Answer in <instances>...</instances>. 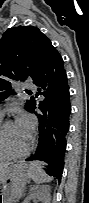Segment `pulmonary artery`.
<instances>
[{"mask_svg": "<svg viewBox=\"0 0 89 203\" xmlns=\"http://www.w3.org/2000/svg\"><path fill=\"white\" fill-rule=\"evenodd\" d=\"M26 87H33V85H32V84H29V85H26Z\"/></svg>", "mask_w": 89, "mask_h": 203, "instance_id": "e3ab8cb5", "label": "pulmonary artery"}]
</instances>
